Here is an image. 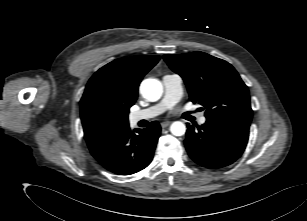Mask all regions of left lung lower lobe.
Segmentation results:
<instances>
[{"label":"left lung lower lobe","mask_w":307,"mask_h":221,"mask_svg":"<svg viewBox=\"0 0 307 221\" xmlns=\"http://www.w3.org/2000/svg\"><path fill=\"white\" fill-rule=\"evenodd\" d=\"M249 126V123L231 119L206 120L197 130L187 124L186 150L192 160L203 167L228 166L245 150Z\"/></svg>","instance_id":"left-lung-lower-lobe-1"}]
</instances>
